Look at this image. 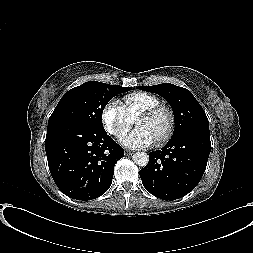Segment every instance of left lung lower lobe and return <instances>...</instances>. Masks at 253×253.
Here are the masks:
<instances>
[{"instance_id":"obj_1","label":"left lung lower lobe","mask_w":253,"mask_h":253,"mask_svg":"<svg viewBox=\"0 0 253 253\" xmlns=\"http://www.w3.org/2000/svg\"><path fill=\"white\" fill-rule=\"evenodd\" d=\"M210 150L209 128L178 131L162 150L149 153L148 164L140 170L145 189L167 201L183 197L201 180Z\"/></svg>"}]
</instances>
